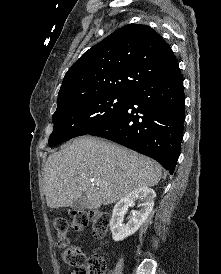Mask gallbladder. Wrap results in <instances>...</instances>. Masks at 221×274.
Returning a JSON list of instances; mask_svg holds the SVG:
<instances>
[{
    "label": "gallbladder",
    "mask_w": 221,
    "mask_h": 274,
    "mask_svg": "<svg viewBox=\"0 0 221 274\" xmlns=\"http://www.w3.org/2000/svg\"><path fill=\"white\" fill-rule=\"evenodd\" d=\"M88 206V200H87V197L86 195H82L81 198H79L78 200H76L71 208L74 210V211H82L84 209H86Z\"/></svg>",
    "instance_id": "bac80fb5"
}]
</instances>
